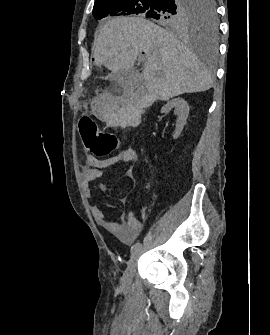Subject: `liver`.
Segmentation results:
<instances>
[{"label":"liver","instance_id":"1","mask_svg":"<svg viewBox=\"0 0 270 335\" xmlns=\"http://www.w3.org/2000/svg\"><path fill=\"white\" fill-rule=\"evenodd\" d=\"M140 52L147 56L140 76L147 102L205 92L213 84L210 72L186 44L142 16H117L102 26L94 60L112 74L132 72Z\"/></svg>","mask_w":270,"mask_h":335}]
</instances>
